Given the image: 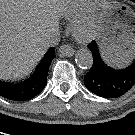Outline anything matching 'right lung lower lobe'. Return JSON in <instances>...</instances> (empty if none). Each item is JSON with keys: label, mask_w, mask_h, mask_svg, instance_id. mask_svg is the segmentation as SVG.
I'll use <instances>...</instances> for the list:
<instances>
[{"label": "right lung lower lobe", "mask_w": 135, "mask_h": 135, "mask_svg": "<svg viewBox=\"0 0 135 135\" xmlns=\"http://www.w3.org/2000/svg\"><path fill=\"white\" fill-rule=\"evenodd\" d=\"M54 57L55 50L51 47L34 73L25 81L17 84L0 81V96L13 101H26L40 94L46 86L49 66Z\"/></svg>", "instance_id": "obj_1"}]
</instances>
